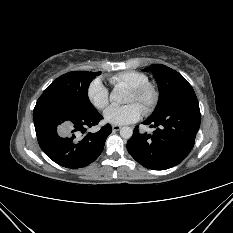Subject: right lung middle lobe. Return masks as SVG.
Here are the masks:
<instances>
[{
	"label": "right lung middle lobe",
	"instance_id": "obj_1",
	"mask_svg": "<svg viewBox=\"0 0 233 233\" xmlns=\"http://www.w3.org/2000/svg\"><path fill=\"white\" fill-rule=\"evenodd\" d=\"M101 72L73 71L57 78L43 94L53 95L70 107L81 111L96 110L87 91L91 81Z\"/></svg>",
	"mask_w": 233,
	"mask_h": 233
}]
</instances>
